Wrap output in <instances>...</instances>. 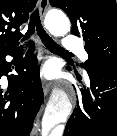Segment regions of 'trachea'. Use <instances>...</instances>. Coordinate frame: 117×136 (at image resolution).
<instances>
[{"mask_svg": "<svg viewBox=\"0 0 117 136\" xmlns=\"http://www.w3.org/2000/svg\"><path fill=\"white\" fill-rule=\"evenodd\" d=\"M35 27L37 29L38 35L40 37V39L42 40V42L44 43V45L51 51L53 52H60V53H66V54H71L70 52H68L67 50H65L64 48H62L60 45H58L44 30V28L42 27L41 21H40V17H39V12L36 9L31 18H30V23L28 26V31L26 33V35L24 36L23 40H26L28 37H30L35 30Z\"/></svg>", "mask_w": 117, "mask_h": 136, "instance_id": "obj_1", "label": "trachea"}]
</instances>
